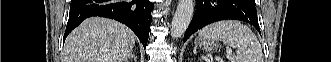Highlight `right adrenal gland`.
Listing matches in <instances>:
<instances>
[{"label": "right adrenal gland", "instance_id": "right-adrenal-gland-1", "mask_svg": "<svg viewBox=\"0 0 331 62\" xmlns=\"http://www.w3.org/2000/svg\"><path fill=\"white\" fill-rule=\"evenodd\" d=\"M133 59L135 62L137 61V57L135 56V54H131L129 57H128V60L129 59Z\"/></svg>", "mask_w": 331, "mask_h": 62}]
</instances>
